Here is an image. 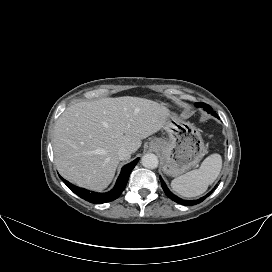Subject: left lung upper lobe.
Returning <instances> with one entry per match:
<instances>
[{
    "instance_id": "1",
    "label": "left lung upper lobe",
    "mask_w": 272,
    "mask_h": 272,
    "mask_svg": "<svg viewBox=\"0 0 272 272\" xmlns=\"http://www.w3.org/2000/svg\"><path fill=\"white\" fill-rule=\"evenodd\" d=\"M195 106L196 107H202L208 113H212L214 116L216 115V113L214 111H212V108L209 105L205 104V103H195Z\"/></svg>"
}]
</instances>
